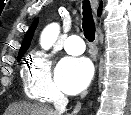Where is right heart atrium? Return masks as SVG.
Instances as JSON below:
<instances>
[{"label":"right heart atrium","mask_w":131,"mask_h":115,"mask_svg":"<svg viewBox=\"0 0 131 115\" xmlns=\"http://www.w3.org/2000/svg\"><path fill=\"white\" fill-rule=\"evenodd\" d=\"M23 84L25 93L34 100L52 103L63 98L52 79V60L43 51H35L28 57Z\"/></svg>","instance_id":"d8ad5b80"}]
</instances>
